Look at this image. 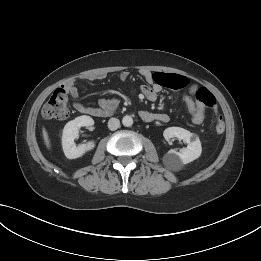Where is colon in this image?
I'll return each mask as SVG.
<instances>
[{
    "label": "colon",
    "mask_w": 261,
    "mask_h": 261,
    "mask_svg": "<svg viewBox=\"0 0 261 261\" xmlns=\"http://www.w3.org/2000/svg\"><path fill=\"white\" fill-rule=\"evenodd\" d=\"M196 101L202 108L216 109V99L206 88H200L196 92ZM42 115L47 119L64 120L69 116L68 97L65 89H57L42 109ZM215 130L222 133L225 123L220 115H216Z\"/></svg>",
    "instance_id": "colon-1"
}]
</instances>
